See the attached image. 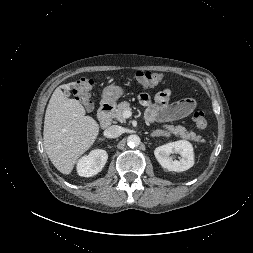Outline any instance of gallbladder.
I'll return each instance as SVG.
<instances>
[{
    "mask_svg": "<svg viewBox=\"0 0 253 253\" xmlns=\"http://www.w3.org/2000/svg\"><path fill=\"white\" fill-rule=\"evenodd\" d=\"M65 94H66L67 96H70V92H68V91H65Z\"/></svg>",
    "mask_w": 253,
    "mask_h": 253,
    "instance_id": "obj_1",
    "label": "gallbladder"
}]
</instances>
